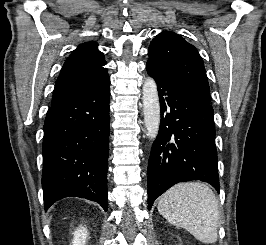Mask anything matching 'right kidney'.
Here are the masks:
<instances>
[{"instance_id": "right-kidney-1", "label": "right kidney", "mask_w": 266, "mask_h": 245, "mask_svg": "<svg viewBox=\"0 0 266 245\" xmlns=\"http://www.w3.org/2000/svg\"><path fill=\"white\" fill-rule=\"evenodd\" d=\"M75 245H85L88 239L87 229L85 227H79L74 231Z\"/></svg>"}]
</instances>
